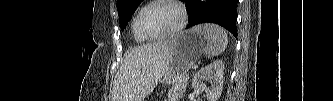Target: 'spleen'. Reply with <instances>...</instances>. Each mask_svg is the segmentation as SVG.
Returning <instances> with one entry per match:
<instances>
[{"mask_svg":"<svg viewBox=\"0 0 333 101\" xmlns=\"http://www.w3.org/2000/svg\"><path fill=\"white\" fill-rule=\"evenodd\" d=\"M193 30L200 33L207 41L204 49L205 56L209 59L221 54L227 47L228 36L226 31L215 24H204L193 27Z\"/></svg>","mask_w":333,"mask_h":101,"instance_id":"obj_1","label":"spleen"}]
</instances>
